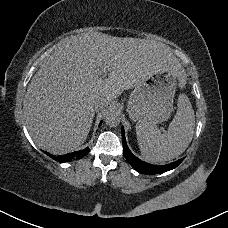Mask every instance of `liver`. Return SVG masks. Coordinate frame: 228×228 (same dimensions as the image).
<instances>
[{"mask_svg":"<svg viewBox=\"0 0 228 228\" xmlns=\"http://www.w3.org/2000/svg\"><path fill=\"white\" fill-rule=\"evenodd\" d=\"M103 68L108 78L101 77ZM157 71H172L181 87L186 83L184 68L163 43L100 32L60 41L32 77L23 101L35 145L55 155L77 150L93 123L94 98L108 106Z\"/></svg>","mask_w":228,"mask_h":228,"instance_id":"6515ba94","label":"liver"}]
</instances>
